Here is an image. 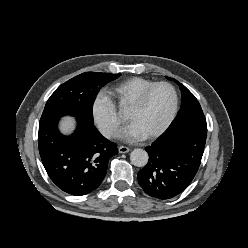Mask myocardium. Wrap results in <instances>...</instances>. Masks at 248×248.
Instances as JSON below:
<instances>
[{
	"label": "myocardium",
	"instance_id": "obj_1",
	"mask_svg": "<svg viewBox=\"0 0 248 248\" xmlns=\"http://www.w3.org/2000/svg\"><path fill=\"white\" fill-rule=\"evenodd\" d=\"M159 86H166L168 87L173 94V105L172 110L170 112V115L168 116L167 120L164 122V124L155 132L151 133L148 136H145L144 138L147 140H153L161 136L172 124L174 121L177 111H178V105H179V97L178 92L176 88L169 82L161 81V82H155L149 87H147L142 93L138 96V98L133 102V104L129 107L128 112H137L143 108L145 105V102L150 95V93Z\"/></svg>",
	"mask_w": 248,
	"mask_h": 248
}]
</instances>
